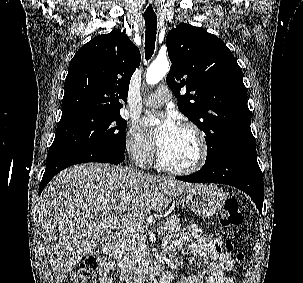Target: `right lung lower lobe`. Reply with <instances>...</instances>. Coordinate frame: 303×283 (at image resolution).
I'll use <instances>...</instances> for the list:
<instances>
[{
    "label": "right lung lower lobe",
    "mask_w": 303,
    "mask_h": 283,
    "mask_svg": "<svg viewBox=\"0 0 303 283\" xmlns=\"http://www.w3.org/2000/svg\"><path fill=\"white\" fill-rule=\"evenodd\" d=\"M125 159L124 154L92 148H62L49 150L46 169L39 185V195L48 182L61 170L79 163L104 162L119 164Z\"/></svg>",
    "instance_id": "right-lung-lower-lobe-1"
}]
</instances>
